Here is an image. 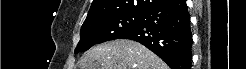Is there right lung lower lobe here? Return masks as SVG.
Listing matches in <instances>:
<instances>
[{"instance_id":"right-lung-lower-lobe-1","label":"right lung lower lobe","mask_w":246,"mask_h":69,"mask_svg":"<svg viewBox=\"0 0 246 69\" xmlns=\"http://www.w3.org/2000/svg\"><path fill=\"white\" fill-rule=\"evenodd\" d=\"M119 39L143 44L171 69H191L192 35L185 0H167L144 11L141 22Z\"/></svg>"}]
</instances>
